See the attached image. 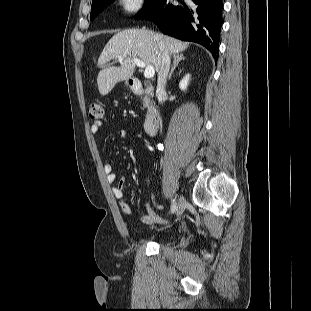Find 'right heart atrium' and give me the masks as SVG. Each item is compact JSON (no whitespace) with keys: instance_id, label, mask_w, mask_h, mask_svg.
Wrapping results in <instances>:
<instances>
[{"instance_id":"1","label":"right heart atrium","mask_w":311,"mask_h":311,"mask_svg":"<svg viewBox=\"0 0 311 311\" xmlns=\"http://www.w3.org/2000/svg\"><path fill=\"white\" fill-rule=\"evenodd\" d=\"M122 12L129 15L138 14L143 7V0H117Z\"/></svg>"}]
</instances>
